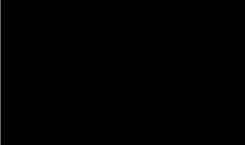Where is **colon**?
<instances>
[{
    "mask_svg": "<svg viewBox=\"0 0 245 145\" xmlns=\"http://www.w3.org/2000/svg\"><path fill=\"white\" fill-rule=\"evenodd\" d=\"M210 75H211V64L208 60H205L200 64L199 73L196 79L199 83L204 84L209 80Z\"/></svg>",
    "mask_w": 245,
    "mask_h": 145,
    "instance_id": "5ec220e1",
    "label": "colon"
}]
</instances>
